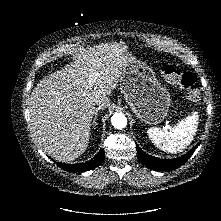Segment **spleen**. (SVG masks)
<instances>
[{
	"mask_svg": "<svg viewBox=\"0 0 221 221\" xmlns=\"http://www.w3.org/2000/svg\"><path fill=\"white\" fill-rule=\"evenodd\" d=\"M198 128V113L193 112L172 129L152 127L147 131L149 139L162 151L176 153L184 150L194 139Z\"/></svg>",
	"mask_w": 221,
	"mask_h": 221,
	"instance_id": "3e777b00",
	"label": "spleen"
}]
</instances>
